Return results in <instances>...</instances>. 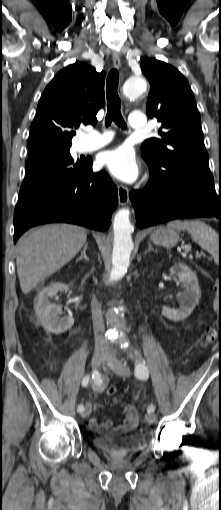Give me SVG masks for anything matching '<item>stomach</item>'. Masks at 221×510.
<instances>
[{"instance_id":"stomach-1","label":"stomach","mask_w":221,"mask_h":510,"mask_svg":"<svg viewBox=\"0 0 221 510\" xmlns=\"http://www.w3.org/2000/svg\"><path fill=\"white\" fill-rule=\"evenodd\" d=\"M156 245L171 248L180 240L179 233L174 228L159 226L150 235Z\"/></svg>"}]
</instances>
